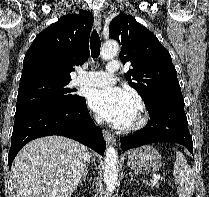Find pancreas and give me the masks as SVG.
I'll return each instance as SVG.
<instances>
[{
	"mask_svg": "<svg viewBox=\"0 0 209 197\" xmlns=\"http://www.w3.org/2000/svg\"><path fill=\"white\" fill-rule=\"evenodd\" d=\"M149 186H151L152 188L154 187V188H158L159 187V185H158V183L156 182V183H151Z\"/></svg>",
	"mask_w": 209,
	"mask_h": 197,
	"instance_id": "obj_1",
	"label": "pancreas"
}]
</instances>
